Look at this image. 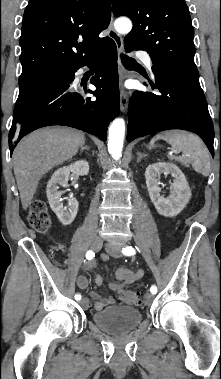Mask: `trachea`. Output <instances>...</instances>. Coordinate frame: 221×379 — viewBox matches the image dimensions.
<instances>
[{
  "label": "trachea",
  "mask_w": 221,
  "mask_h": 379,
  "mask_svg": "<svg viewBox=\"0 0 221 379\" xmlns=\"http://www.w3.org/2000/svg\"><path fill=\"white\" fill-rule=\"evenodd\" d=\"M121 59H122V63H123V65H124L126 68H129V67H132V66H134V65H137V62H136L134 59L129 58V57L125 56V55H122V56H121Z\"/></svg>",
  "instance_id": "1"
}]
</instances>
